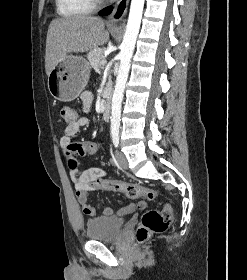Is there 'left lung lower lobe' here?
Returning <instances> with one entry per match:
<instances>
[{
    "label": "left lung lower lobe",
    "mask_w": 247,
    "mask_h": 280,
    "mask_svg": "<svg viewBox=\"0 0 247 280\" xmlns=\"http://www.w3.org/2000/svg\"><path fill=\"white\" fill-rule=\"evenodd\" d=\"M111 11H112V8L105 9L100 13V15H103V16L108 15V14H110Z\"/></svg>",
    "instance_id": "0a47b994"
}]
</instances>
